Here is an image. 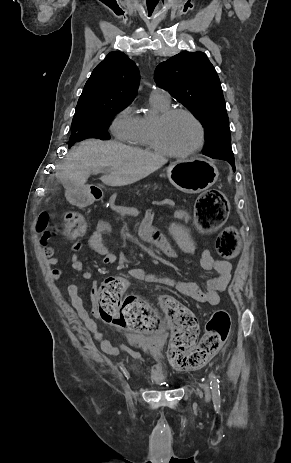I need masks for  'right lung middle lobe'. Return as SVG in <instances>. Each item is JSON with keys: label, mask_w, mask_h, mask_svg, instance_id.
Here are the masks:
<instances>
[{"label": "right lung middle lobe", "mask_w": 291, "mask_h": 463, "mask_svg": "<svg viewBox=\"0 0 291 463\" xmlns=\"http://www.w3.org/2000/svg\"><path fill=\"white\" fill-rule=\"evenodd\" d=\"M129 104L109 101L101 104L94 111L74 115L68 141L69 148L85 139H109L108 128L113 117Z\"/></svg>", "instance_id": "right-lung-middle-lobe-1"}]
</instances>
